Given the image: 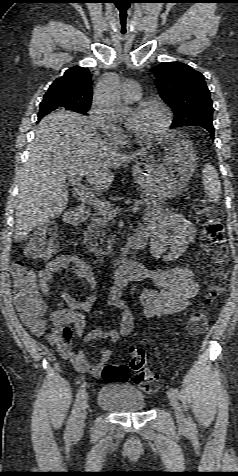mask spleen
<instances>
[{
    "instance_id": "3e777b00",
    "label": "spleen",
    "mask_w": 238,
    "mask_h": 476,
    "mask_svg": "<svg viewBox=\"0 0 238 476\" xmlns=\"http://www.w3.org/2000/svg\"><path fill=\"white\" fill-rule=\"evenodd\" d=\"M204 189L211 202H218L221 197V183L216 169L211 164H206L202 170Z\"/></svg>"
}]
</instances>
